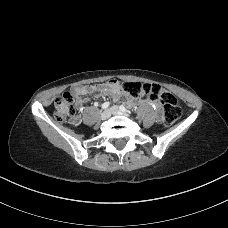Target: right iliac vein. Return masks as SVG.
<instances>
[{"label": "right iliac vein", "instance_id": "right-iliac-vein-1", "mask_svg": "<svg viewBox=\"0 0 228 228\" xmlns=\"http://www.w3.org/2000/svg\"><path fill=\"white\" fill-rule=\"evenodd\" d=\"M110 116H111V111L110 110H105L101 114V119L102 120H107V119L110 118Z\"/></svg>", "mask_w": 228, "mask_h": 228}]
</instances>
